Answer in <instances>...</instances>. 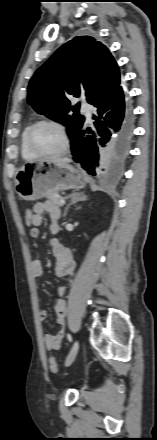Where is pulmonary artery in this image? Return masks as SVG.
Listing matches in <instances>:
<instances>
[{
    "label": "pulmonary artery",
    "instance_id": "pulmonary-artery-1",
    "mask_svg": "<svg viewBox=\"0 0 157 440\" xmlns=\"http://www.w3.org/2000/svg\"><path fill=\"white\" fill-rule=\"evenodd\" d=\"M82 111L85 113L87 120L90 121L92 115V107L88 103L83 102L81 105Z\"/></svg>",
    "mask_w": 157,
    "mask_h": 440
}]
</instances>
